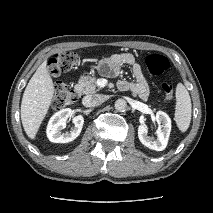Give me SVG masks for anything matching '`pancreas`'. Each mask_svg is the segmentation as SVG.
Listing matches in <instances>:
<instances>
[{"mask_svg":"<svg viewBox=\"0 0 213 213\" xmlns=\"http://www.w3.org/2000/svg\"><path fill=\"white\" fill-rule=\"evenodd\" d=\"M76 87L83 94H94L101 90L96 78L90 76H81Z\"/></svg>","mask_w":213,"mask_h":213,"instance_id":"obj_1","label":"pancreas"}]
</instances>
